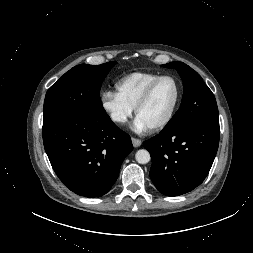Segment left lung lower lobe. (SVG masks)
Listing matches in <instances>:
<instances>
[{"mask_svg": "<svg viewBox=\"0 0 253 253\" xmlns=\"http://www.w3.org/2000/svg\"><path fill=\"white\" fill-rule=\"evenodd\" d=\"M219 135V124L194 123L144 141L152 158L150 178L158 191L173 197L199 186L213 164Z\"/></svg>", "mask_w": 253, "mask_h": 253, "instance_id": "0a47b994", "label": "left lung lower lobe"}]
</instances>
